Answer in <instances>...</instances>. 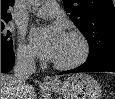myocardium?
I'll use <instances>...</instances> for the list:
<instances>
[{
  "mask_svg": "<svg viewBox=\"0 0 115 99\" xmlns=\"http://www.w3.org/2000/svg\"><path fill=\"white\" fill-rule=\"evenodd\" d=\"M66 36L73 38L79 42L80 53L75 59L69 62H53L55 68L62 70L73 69L81 66L87 61L91 52L89 41L82 33L78 31H70L66 34Z\"/></svg>",
  "mask_w": 115,
  "mask_h": 99,
  "instance_id": "1",
  "label": "myocardium"
}]
</instances>
